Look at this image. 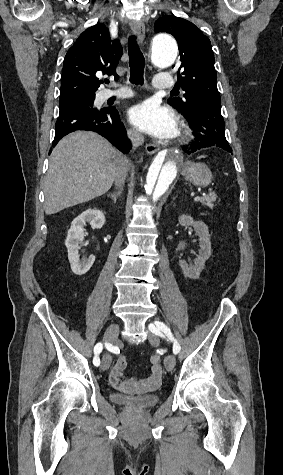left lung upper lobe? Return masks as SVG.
Returning a JSON list of instances; mask_svg holds the SVG:
<instances>
[{"label":"left lung upper lobe","mask_w":283,"mask_h":475,"mask_svg":"<svg viewBox=\"0 0 283 475\" xmlns=\"http://www.w3.org/2000/svg\"><path fill=\"white\" fill-rule=\"evenodd\" d=\"M155 32L173 35L180 52L182 75L178 84L185 91L184 99L171 98L168 104L190 115L195 105L202 100H218L217 75L210 40L193 23L175 16H162L154 24Z\"/></svg>","instance_id":"obj_1"}]
</instances>
